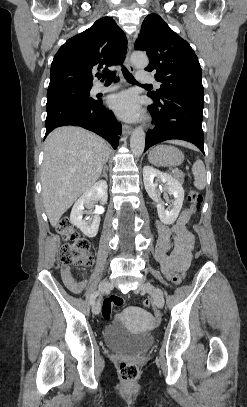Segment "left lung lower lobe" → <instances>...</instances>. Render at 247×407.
<instances>
[{
	"label": "left lung lower lobe",
	"mask_w": 247,
	"mask_h": 407,
	"mask_svg": "<svg viewBox=\"0 0 247 407\" xmlns=\"http://www.w3.org/2000/svg\"><path fill=\"white\" fill-rule=\"evenodd\" d=\"M148 107L155 128L146 133L145 151L162 141L179 139L196 145L204 154L203 96L174 92Z\"/></svg>",
	"instance_id": "left-lung-lower-lobe-1"
}]
</instances>
